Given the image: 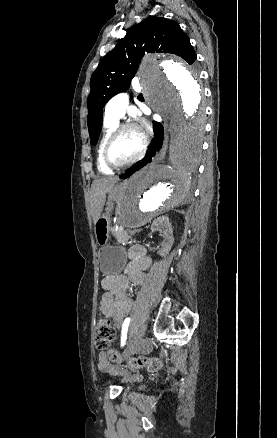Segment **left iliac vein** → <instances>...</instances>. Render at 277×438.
Masks as SVG:
<instances>
[{
  "instance_id": "obj_1",
  "label": "left iliac vein",
  "mask_w": 277,
  "mask_h": 438,
  "mask_svg": "<svg viewBox=\"0 0 277 438\" xmlns=\"http://www.w3.org/2000/svg\"><path fill=\"white\" fill-rule=\"evenodd\" d=\"M147 330V324L144 323L139 328L138 332L136 333L135 337L128 343L126 349L123 352V357L126 358L130 356L135 349V347L139 344V342L143 339L145 333Z\"/></svg>"
}]
</instances>
